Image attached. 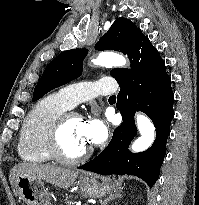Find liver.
<instances>
[{"label":"liver","instance_id":"liver-1","mask_svg":"<svg viewBox=\"0 0 199 205\" xmlns=\"http://www.w3.org/2000/svg\"><path fill=\"white\" fill-rule=\"evenodd\" d=\"M78 171L61 168L53 165L21 163L15 165L10 171V184L15 196L18 195L16 180L20 175H26L46 181L59 188L68 189L78 176Z\"/></svg>","mask_w":199,"mask_h":205}]
</instances>
